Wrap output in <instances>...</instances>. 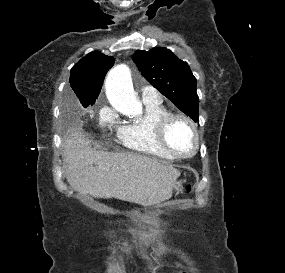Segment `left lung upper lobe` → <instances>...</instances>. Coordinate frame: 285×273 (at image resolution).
I'll list each match as a JSON object with an SVG mask.
<instances>
[{
    "label": "left lung upper lobe",
    "instance_id": "5c2ea615",
    "mask_svg": "<svg viewBox=\"0 0 285 273\" xmlns=\"http://www.w3.org/2000/svg\"><path fill=\"white\" fill-rule=\"evenodd\" d=\"M133 61L156 89L195 122H199L196 78L185 62L163 47L138 51L133 55Z\"/></svg>",
    "mask_w": 285,
    "mask_h": 273
}]
</instances>
